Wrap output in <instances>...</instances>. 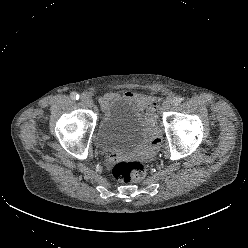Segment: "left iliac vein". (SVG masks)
I'll return each mask as SVG.
<instances>
[{"label": "left iliac vein", "instance_id": "left-iliac-vein-1", "mask_svg": "<svg viewBox=\"0 0 248 248\" xmlns=\"http://www.w3.org/2000/svg\"><path fill=\"white\" fill-rule=\"evenodd\" d=\"M171 107H172V101L171 100H166V101H164V103L162 105V110L163 111H168V110H170Z\"/></svg>", "mask_w": 248, "mask_h": 248}]
</instances>
